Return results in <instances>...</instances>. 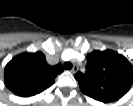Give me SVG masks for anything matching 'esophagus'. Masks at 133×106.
Returning a JSON list of instances; mask_svg holds the SVG:
<instances>
[{
	"label": "esophagus",
	"mask_w": 133,
	"mask_h": 106,
	"mask_svg": "<svg viewBox=\"0 0 133 106\" xmlns=\"http://www.w3.org/2000/svg\"><path fill=\"white\" fill-rule=\"evenodd\" d=\"M78 71V66L77 65H74L71 69V72L72 73H76Z\"/></svg>",
	"instance_id": "34e87169"
}]
</instances>
